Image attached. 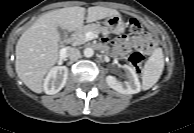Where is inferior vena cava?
Returning <instances> with one entry per match:
<instances>
[{"label":"inferior vena cava","instance_id":"inferior-vena-cava-1","mask_svg":"<svg viewBox=\"0 0 194 133\" xmlns=\"http://www.w3.org/2000/svg\"><path fill=\"white\" fill-rule=\"evenodd\" d=\"M66 55L70 60H77L81 57V53L77 48L68 47Z\"/></svg>","mask_w":194,"mask_h":133}]
</instances>
